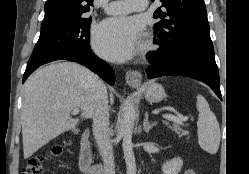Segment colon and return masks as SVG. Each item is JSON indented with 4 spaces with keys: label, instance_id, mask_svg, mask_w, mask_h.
I'll list each match as a JSON object with an SVG mask.
<instances>
[{
    "label": "colon",
    "instance_id": "colon-1",
    "mask_svg": "<svg viewBox=\"0 0 249 174\" xmlns=\"http://www.w3.org/2000/svg\"><path fill=\"white\" fill-rule=\"evenodd\" d=\"M69 143V140L64 141V146ZM63 151L62 145L53 146L48 153L36 154L29 158L25 167L22 170V174H43L44 162L51 158L58 156Z\"/></svg>",
    "mask_w": 249,
    "mask_h": 174
}]
</instances>
